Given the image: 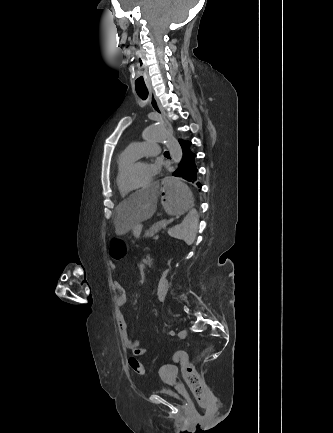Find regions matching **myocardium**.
<instances>
[{
	"label": "myocardium",
	"mask_w": 333,
	"mask_h": 433,
	"mask_svg": "<svg viewBox=\"0 0 333 433\" xmlns=\"http://www.w3.org/2000/svg\"><path fill=\"white\" fill-rule=\"evenodd\" d=\"M141 163H145V161L144 160H138V159H136L133 162H131L129 165H127L125 167V169L123 170V172H122V174L120 176V180H119L120 188L123 191H125L127 193L138 192L141 189L147 188V187H149L151 185V181H147L146 183H144V184H142L140 186H137V187H130L127 184V177L132 172V170L134 169V167L137 166L138 164H141Z\"/></svg>",
	"instance_id": "myocardium-1"
}]
</instances>
